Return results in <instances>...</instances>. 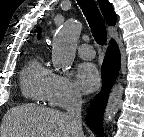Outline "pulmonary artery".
Here are the masks:
<instances>
[{
	"label": "pulmonary artery",
	"mask_w": 144,
	"mask_h": 137,
	"mask_svg": "<svg viewBox=\"0 0 144 137\" xmlns=\"http://www.w3.org/2000/svg\"><path fill=\"white\" fill-rule=\"evenodd\" d=\"M77 51H78L79 56L85 60H91L95 56L94 49L89 44H81L78 47Z\"/></svg>",
	"instance_id": "obj_1"
}]
</instances>
